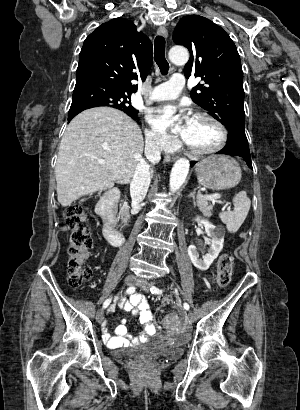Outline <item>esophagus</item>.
Instances as JSON below:
<instances>
[{"label":"esophagus","instance_id":"1","mask_svg":"<svg viewBox=\"0 0 300 410\" xmlns=\"http://www.w3.org/2000/svg\"><path fill=\"white\" fill-rule=\"evenodd\" d=\"M157 34L160 36H163L165 38L168 37V31L165 27L161 26L157 29ZM175 160V157H170V156H166L165 157V162H172Z\"/></svg>","mask_w":300,"mask_h":410}]
</instances>
